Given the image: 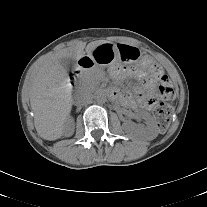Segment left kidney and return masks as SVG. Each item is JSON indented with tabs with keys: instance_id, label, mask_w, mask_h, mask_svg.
I'll list each match as a JSON object with an SVG mask.
<instances>
[{
	"instance_id": "1",
	"label": "left kidney",
	"mask_w": 207,
	"mask_h": 207,
	"mask_svg": "<svg viewBox=\"0 0 207 207\" xmlns=\"http://www.w3.org/2000/svg\"><path fill=\"white\" fill-rule=\"evenodd\" d=\"M137 115H139L145 120L146 127H137L132 124L125 123L123 125L124 130L131 135L135 134L136 132H140L146 140L155 139L158 135V126L156 125L153 117L148 112L142 110H138Z\"/></svg>"
}]
</instances>
